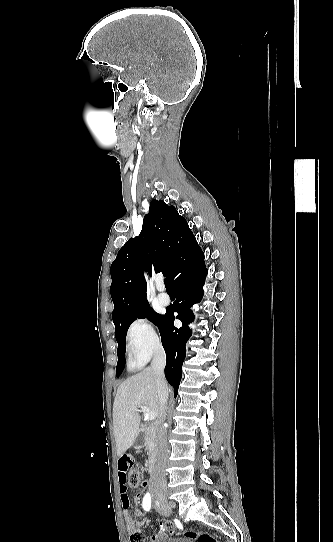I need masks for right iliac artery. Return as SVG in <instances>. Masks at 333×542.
I'll return each instance as SVG.
<instances>
[{"label":"right iliac artery","instance_id":"right-iliac-artery-1","mask_svg":"<svg viewBox=\"0 0 333 542\" xmlns=\"http://www.w3.org/2000/svg\"><path fill=\"white\" fill-rule=\"evenodd\" d=\"M143 508L146 510V511H149L150 510V507H151V497H150V494L147 493L144 498H143Z\"/></svg>","mask_w":333,"mask_h":542}]
</instances>
